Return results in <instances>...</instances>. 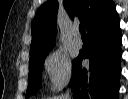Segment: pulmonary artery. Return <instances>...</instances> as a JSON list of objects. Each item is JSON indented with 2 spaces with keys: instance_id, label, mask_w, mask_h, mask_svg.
I'll use <instances>...</instances> for the list:
<instances>
[{
  "instance_id": "obj_1",
  "label": "pulmonary artery",
  "mask_w": 128,
  "mask_h": 99,
  "mask_svg": "<svg viewBox=\"0 0 128 99\" xmlns=\"http://www.w3.org/2000/svg\"><path fill=\"white\" fill-rule=\"evenodd\" d=\"M74 44L77 46V47H81L83 42L81 40V37L79 36V33L76 31V34H75V37H74Z\"/></svg>"
}]
</instances>
